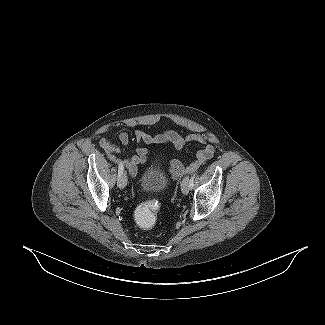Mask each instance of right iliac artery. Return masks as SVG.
<instances>
[{
	"label": "right iliac artery",
	"mask_w": 325,
	"mask_h": 325,
	"mask_svg": "<svg viewBox=\"0 0 325 325\" xmlns=\"http://www.w3.org/2000/svg\"><path fill=\"white\" fill-rule=\"evenodd\" d=\"M123 170H124V166L123 164L120 162L119 166H118V177H120L123 174Z\"/></svg>",
	"instance_id": "82829eb1"
}]
</instances>
